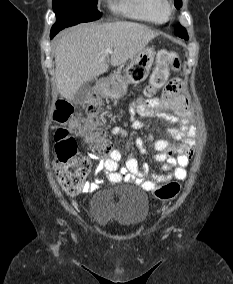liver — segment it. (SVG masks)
Masks as SVG:
<instances>
[{
  "label": "liver",
  "mask_w": 233,
  "mask_h": 284,
  "mask_svg": "<svg viewBox=\"0 0 233 284\" xmlns=\"http://www.w3.org/2000/svg\"><path fill=\"white\" fill-rule=\"evenodd\" d=\"M158 32L145 25L118 21L79 25L65 31L56 42L55 81L60 95L71 100L81 85L105 73L108 57L112 66L133 58ZM107 48L112 53H106Z\"/></svg>",
  "instance_id": "obj_1"
}]
</instances>
